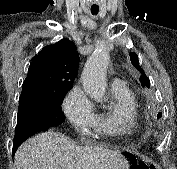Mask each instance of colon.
I'll return each mask as SVG.
<instances>
[{"instance_id": "1", "label": "colon", "mask_w": 177, "mask_h": 169, "mask_svg": "<svg viewBox=\"0 0 177 169\" xmlns=\"http://www.w3.org/2000/svg\"><path fill=\"white\" fill-rule=\"evenodd\" d=\"M147 169H157L155 166H150L149 168Z\"/></svg>"}]
</instances>
